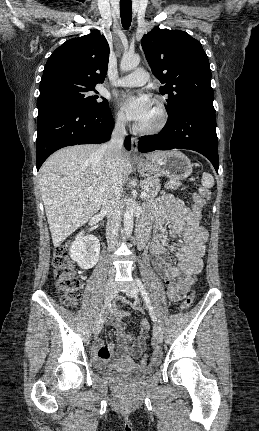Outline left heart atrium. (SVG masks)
<instances>
[{
  "label": "left heart atrium",
  "mask_w": 259,
  "mask_h": 431,
  "mask_svg": "<svg viewBox=\"0 0 259 431\" xmlns=\"http://www.w3.org/2000/svg\"><path fill=\"white\" fill-rule=\"evenodd\" d=\"M120 104L127 118L138 124L149 116L152 109V100L145 93L125 94Z\"/></svg>",
  "instance_id": "39dd6f15"
}]
</instances>
